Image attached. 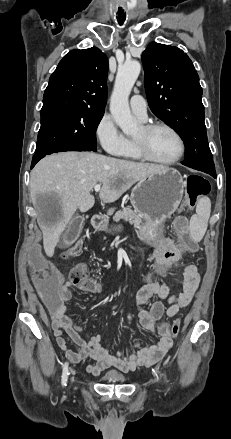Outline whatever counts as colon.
Segmentation results:
<instances>
[{
  "label": "colon",
  "mask_w": 231,
  "mask_h": 439,
  "mask_svg": "<svg viewBox=\"0 0 231 439\" xmlns=\"http://www.w3.org/2000/svg\"><path fill=\"white\" fill-rule=\"evenodd\" d=\"M187 211L191 210L196 202L204 195L208 194L210 190V185L206 179L196 175H190L187 177ZM175 230L178 233L179 241L186 252H195L196 245L189 232L188 220L185 216H178L174 221ZM83 243L80 240L75 241V243L70 246L66 252L65 257H70L76 255L80 248H82ZM30 254L34 256L32 259H27V268H35L33 284L37 288L38 295L41 296V300L45 305L48 315H53V313L58 312L59 299L60 296L57 293L58 287L62 282V275L59 274L55 269L51 268V260L45 254L44 248L42 246H33L31 248ZM185 252H180V254L174 255L169 262L174 265L180 264L185 257ZM171 264H160L153 266L148 271L149 276L141 279L140 283H167L164 279L165 273L172 272ZM152 277H158L159 279H153ZM71 281L80 289L88 292H98L100 290V284L97 280L89 277L87 268L84 264L76 265L70 274ZM138 286H135L137 289ZM179 329V322L176 321L172 325H161L159 328V334L161 338L172 339L176 336Z\"/></svg>",
  "instance_id": "colon-1"
}]
</instances>
